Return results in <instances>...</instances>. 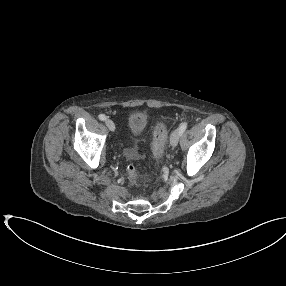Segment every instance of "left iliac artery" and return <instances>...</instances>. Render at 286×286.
I'll return each mask as SVG.
<instances>
[{"instance_id":"left-iliac-artery-1","label":"left iliac artery","mask_w":286,"mask_h":286,"mask_svg":"<svg viewBox=\"0 0 286 286\" xmlns=\"http://www.w3.org/2000/svg\"><path fill=\"white\" fill-rule=\"evenodd\" d=\"M187 122H184V123H182L181 125H180V127H179V131H180V134L182 135L183 133H184V131L186 130V128H187Z\"/></svg>"}]
</instances>
